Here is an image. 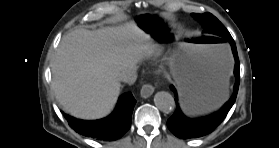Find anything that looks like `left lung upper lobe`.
Returning a JSON list of instances; mask_svg holds the SVG:
<instances>
[{"label":"left lung upper lobe","mask_w":279,"mask_h":148,"mask_svg":"<svg viewBox=\"0 0 279 148\" xmlns=\"http://www.w3.org/2000/svg\"><path fill=\"white\" fill-rule=\"evenodd\" d=\"M192 16L202 24L204 33L215 36L217 38L231 36L228 30L222 25V23L212 14L193 13Z\"/></svg>","instance_id":"5c2ea615"}]
</instances>
